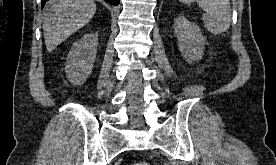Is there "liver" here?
<instances>
[{
	"label": "liver",
	"instance_id": "liver-1",
	"mask_svg": "<svg viewBox=\"0 0 276 165\" xmlns=\"http://www.w3.org/2000/svg\"><path fill=\"white\" fill-rule=\"evenodd\" d=\"M96 12L93 0H52L43 19L45 45L53 51L70 35L86 25Z\"/></svg>",
	"mask_w": 276,
	"mask_h": 165
}]
</instances>
